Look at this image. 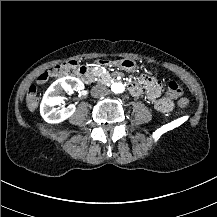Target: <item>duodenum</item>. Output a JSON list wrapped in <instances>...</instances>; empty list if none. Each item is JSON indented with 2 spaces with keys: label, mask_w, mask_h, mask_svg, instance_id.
Masks as SVG:
<instances>
[{
  "label": "duodenum",
  "mask_w": 217,
  "mask_h": 217,
  "mask_svg": "<svg viewBox=\"0 0 217 217\" xmlns=\"http://www.w3.org/2000/svg\"><path fill=\"white\" fill-rule=\"evenodd\" d=\"M116 63L114 61L110 60H98L94 62L93 64H88L85 66H82L80 69V75L83 81L86 83H90L93 80L94 77V68L98 66L103 67H113ZM128 89L131 94H137L140 91V86L138 83L131 81L128 84Z\"/></svg>",
  "instance_id": "obj_1"
}]
</instances>
